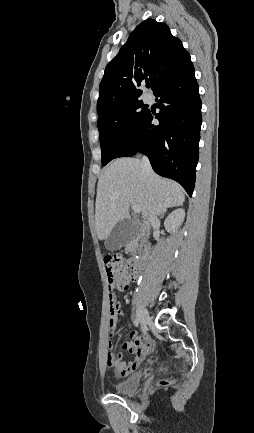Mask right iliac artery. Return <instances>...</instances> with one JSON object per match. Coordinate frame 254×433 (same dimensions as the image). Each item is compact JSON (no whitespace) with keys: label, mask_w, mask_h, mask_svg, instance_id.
<instances>
[{"label":"right iliac artery","mask_w":254,"mask_h":433,"mask_svg":"<svg viewBox=\"0 0 254 433\" xmlns=\"http://www.w3.org/2000/svg\"><path fill=\"white\" fill-rule=\"evenodd\" d=\"M133 323L136 327L139 326V320L137 318H134Z\"/></svg>","instance_id":"right-iliac-artery-1"}]
</instances>
